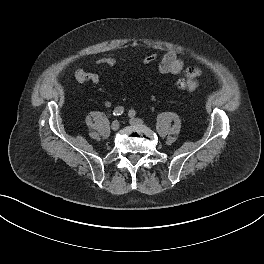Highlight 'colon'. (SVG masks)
Returning <instances> with one entry per match:
<instances>
[{
  "instance_id": "1",
  "label": "colon",
  "mask_w": 264,
  "mask_h": 264,
  "mask_svg": "<svg viewBox=\"0 0 264 264\" xmlns=\"http://www.w3.org/2000/svg\"><path fill=\"white\" fill-rule=\"evenodd\" d=\"M156 59H157L156 53H149L143 58L142 61L144 64H150L154 62ZM101 62L107 66H113L116 63V58L114 55H107L101 59ZM175 86L179 90L192 91L196 88V83L191 79H189L188 77H186V78L178 79L175 83Z\"/></svg>"
}]
</instances>
